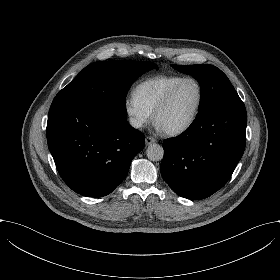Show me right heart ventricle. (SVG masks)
Returning <instances> with one entry per match:
<instances>
[{
	"label": "right heart ventricle",
	"mask_w": 280,
	"mask_h": 280,
	"mask_svg": "<svg viewBox=\"0 0 280 280\" xmlns=\"http://www.w3.org/2000/svg\"><path fill=\"white\" fill-rule=\"evenodd\" d=\"M183 78L182 75L169 74L144 79L134 88V95L146 109L154 113L169 90Z\"/></svg>",
	"instance_id": "obj_1"
}]
</instances>
